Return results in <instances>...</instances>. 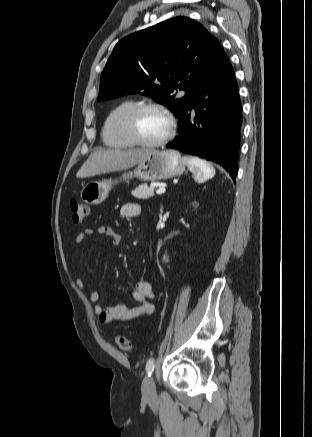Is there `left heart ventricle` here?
I'll return each instance as SVG.
<instances>
[{"label": "left heart ventricle", "instance_id": "left-heart-ventricle-1", "mask_svg": "<svg viewBox=\"0 0 312 437\" xmlns=\"http://www.w3.org/2000/svg\"><path fill=\"white\" fill-rule=\"evenodd\" d=\"M168 130V121L157 111L147 110L138 118V131L147 141H156L164 137Z\"/></svg>", "mask_w": 312, "mask_h": 437}]
</instances>
